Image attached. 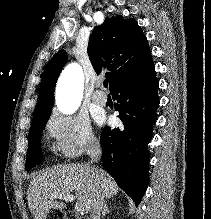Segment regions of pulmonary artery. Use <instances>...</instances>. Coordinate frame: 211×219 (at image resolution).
<instances>
[{"mask_svg": "<svg viewBox=\"0 0 211 219\" xmlns=\"http://www.w3.org/2000/svg\"><path fill=\"white\" fill-rule=\"evenodd\" d=\"M92 101L96 105L102 106L107 102V95L101 90H96L92 95Z\"/></svg>", "mask_w": 211, "mask_h": 219, "instance_id": "obj_1", "label": "pulmonary artery"}]
</instances>
